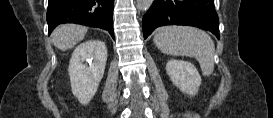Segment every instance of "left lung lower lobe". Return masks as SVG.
Wrapping results in <instances>:
<instances>
[{
	"mask_svg": "<svg viewBox=\"0 0 273 118\" xmlns=\"http://www.w3.org/2000/svg\"><path fill=\"white\" fill-rule=\"evenodd\" d=\"M144 38L160 26L185 25L209 30L219 39L214 0H154L142 20Z\"/></svg>",
	"mask_w": 273,
	"mask_h": 118,
	"instance_id": "obj_1",
	"label": "left lung lower lobe"
}]
</instances>
